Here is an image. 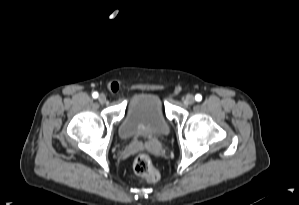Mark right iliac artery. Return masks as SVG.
<instances>
[{
    "instance_id": "82829eb1",
    "label": "right iliac artery",
    "mask_w": 299,
    "mask_h": 205,
    "mask_svg": "<svg viewBox=\"0 0 299 205\" xmlns=\"http://www.w3.org/2000/svg\"><path fill=\"white\" fill-rule=\"evenodd\" d=\"M92 96H93V98H97L98 97V93L97 92H93Z\"/></svg>"
}]
</instances>
